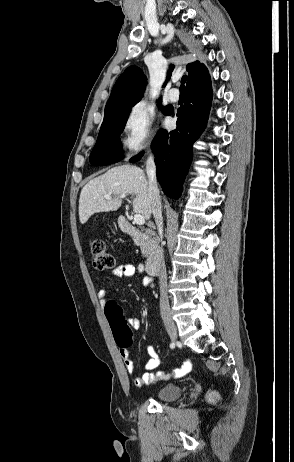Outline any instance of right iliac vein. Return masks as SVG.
Returning <instances> with one entry per match:
<instances>
[{
    "mask_svg": "<svg viewBox=\"0 0 294 462\" xmlns=\"http://www.w3.org/2000/svg\"><path fill=\"white\" fill-rule=\"evenodd\" d=\"M165 328L173 340L177 339V327L169 315L163 317Z\"/></svg>",
    "mask_w": 294,
    "mask_h": 462,
    "instance_id": "obj_1",
    "label": "right iliac vein"
}]
</instances>
